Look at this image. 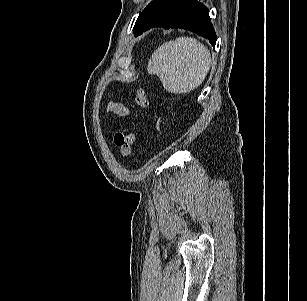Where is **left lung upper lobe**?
Segmentation results:
<instances>
[{
  "mask_svg": "<svg viewBox=\"0 0 307 301\" xmlns=\"http://www.w3.org/2000/svg\"><path fill=\"white\" fill-rule=\"evenodd\" d=\"M179 0H153L140 13L136 25L133 28L137 36L145 29L160 21L178 2Z\"/></svg>",
  "mask_w": 307,
  "mask_h": 301,
  "instance_id": "obj_1",
  "label": "left lung upper lobe"
}]
</instances>
